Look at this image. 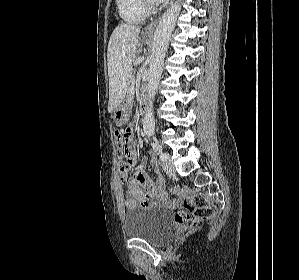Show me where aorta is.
Returning a JSON list of instances; mask_svg holds the SVG:
<instances>
[{
    "instance_id": "aorta-1",
    "label": "aorta",
    "mask_w": 299,
    "mask_h": 280,
    "mask_svg": "<svg viewBox=\"0 0 299 280\" xmlns=\"http://www.w3.org/2000/svg\"><path fill=\"white\" fill-rule=\"evenodd\" d=\"M180 11V0H177L163 15L154 33L150 67L147 76L148 107L143 121V129L148 136H152L155 131L153 101L161 78L169 41Z\"/></svg>"
}]
</instances>
